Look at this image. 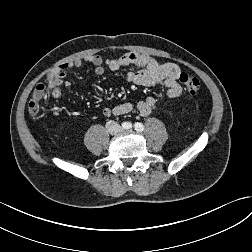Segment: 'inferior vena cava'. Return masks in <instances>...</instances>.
Listing matches in <instances>:
<instances>
[{
	"instance_id": "obj_1",
	"label": "inferior vena cava",
	"mask_w": 252,
	"mask_h": 252,
	"mask_svg": "<svg viewBox=\"0 0 252 252\" xmlns=\"http://www.w3.org/2000/svg\"><path fill=\"white\" fill-rule=\"evenodd\" d=\"M106 129L110 134H117L121 131V126L114 121H108L106 123Z\"/></svg>"
}]
</instances>
